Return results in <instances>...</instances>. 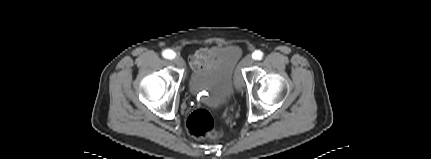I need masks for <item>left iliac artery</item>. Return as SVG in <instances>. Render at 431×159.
<instances>
[{
  "mask_svg": "<svg viewBox=\"0 0 431 159\" xmlns=\"http://www.w3.org/2000/svg\"><path fill=\"white\" fill-rule=\"evenodd\" d=\"M253 59L255 60H261L263 57V53L259 50H256L253 54H252Z\"/></svg>",
  "mask_w": 431,
  "mask_h": 159,
  "instance_id": "1",
  "label": "left iliac artery"
}]
</instances>
